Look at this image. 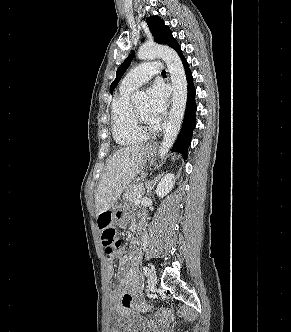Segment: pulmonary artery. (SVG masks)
Masks as SVG:
<instances>
[{
    "instance_id": "e3ab8cb5",
    "label": "pulmonary artery",
    "mask_w": 291,
    "mask_h": 332,
    "mask_svg": "<svg viewBox=\"0 0 291 332\" xmlns=\"http://www.w3.org/2000/svg\"><path fill=\"white\" fill-rule=\"evenodd\" d=\"M161 71L162 64L160 62L142 63L128 72L122 80L121 88L134 90L150 80L155 74L161 73Z\"/></svg>"
}]
</instances>
